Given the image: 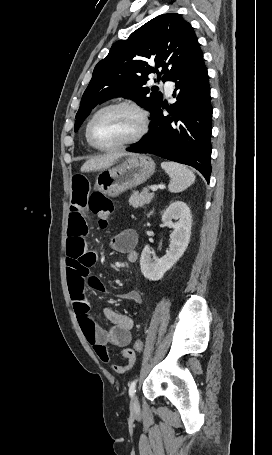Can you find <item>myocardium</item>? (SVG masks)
Masks as SVG:
<instances>
[{
	"mask_svg": "<svg viewBox=\"0 0 272 455\" xmlns=\"http://www.w3.org/2000/svg\"><path fill=\"white\" fill-rule=\"evenodd\" d=\"M118 107H127L137 113L139 120H140L139 130L133 137H131L130 139L125 140L119 144H116L113 146H108V147L100 146L94 141L93 136H92L93 124L101 113H103L109 109L118 108ZM148 129H149L148 112L137 102H135L133 100H129V99H122V100L113 101L111 103H108V104L102 106L93 114V116L89 120L87 127H86V138H87L89 145L92 148H94L98 151H102V152H112V151H117V150H121V149L130 147V146L140 142L144 138V136L147 134Z\"/></svg>",
	"mask_w": 272,
	"mask_h": 455,
	"instance_id": "obj_1",
	"label": "myocardium"
}]
</instances>
